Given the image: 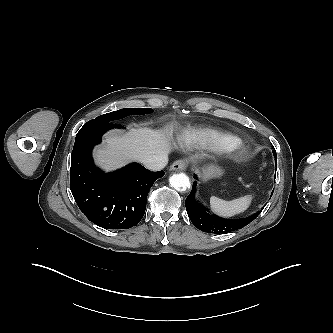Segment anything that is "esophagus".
I'll use <instances>...</instances> for the list:
<instances>
[{
    "label": "esophagus",
    "instance_id": "1",
    "mask_svg": "<svg viewBox=\"0 0 333 333\" xmlns=\"http://www.w3.org/2000/svg\"><path fill=\"white\" fill-rule=\"evenodd\" d=\"M186 163L183 160H177L170 166V171H184Z\"/></svg>",
    "mask_w": 333,
    "mask_h": 333
}]
</instances>
